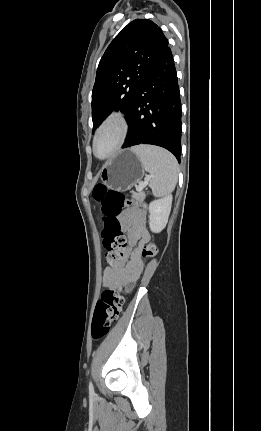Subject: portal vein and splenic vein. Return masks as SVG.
<instances>
[{
	"instance_id": "portal-vein-and-splenic-vein-1",
	"label": "portal vein and splenic vein",
	"mask_w": 261,
	"mask_h": 431,
	"mask_svg": "<svg viewBox=\"0 0 261 431\" xmlns=\"http://www.w3.org/2000/svg\"><path fill=\"white\" fill-rule=\"evenodd\" d=\"M149 180H150V177H147L146 180L143 183H141L139 187H137V190L141 191L144 187H146L148 185Z\"/></svg>"
}]
</instances>
